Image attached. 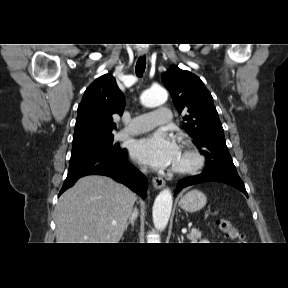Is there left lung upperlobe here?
<instances>
[{
    "mask_svg": "<svg viewBox=\"0 0 288 288\" xmlns=\"http://www.w3.org/2000/svg\"><path fill=\"white\" fill-rule=\"evenodd\" d=\"M161 79L179 113L185 114V130L206 158L203 171L238 175L225 143L213 98L201 79L176 66L163 73Z\"/></svg>",
    "mask_w": 288,
    "mask_h": 288,
    "instance_id": "obj_1",
    "label": "left lung upper lobe"
}]
</instances>
